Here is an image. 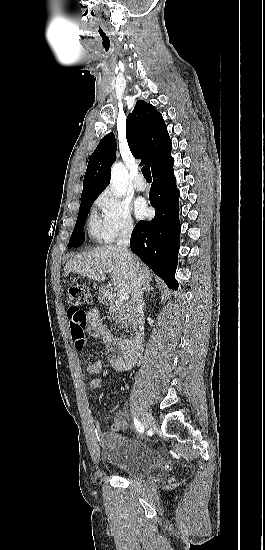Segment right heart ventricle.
I'll return each instance as SVG.
<instances>
[{"mask_svg": "<svg viewBox=\"0 0 265 550\" xmlns=\"http://www.w3.org/2000/svg\"><path fill=\"white\" fill-rule=\"evenodd\" d=\"M88 232L90 237L95 241H107L102 229L101 219L96 214H92L89 218Z\"/></svg>", "mask_w": 265, "mask_h": 550, "instance_id": "e07e8e85", "label": "right heart ventricle"}]
</instances>
